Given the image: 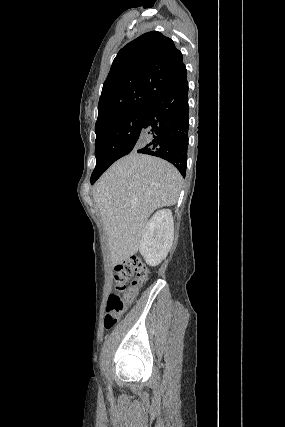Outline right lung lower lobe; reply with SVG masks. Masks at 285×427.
Returning a JSON list of instances; mask_svg holds the SVG:
<instances>
[{
    "instance_id": "1",
    "label": "right lung lower lobe",
    "mask_w": 285,
    "mask_h": 427,
    "mask_svg": "<svg viewBox=\"0 0 285 427\" xmlns=\"http://www.w3.org/2000/svg\"><path fill=\"white\" fill-rule=\"evenodd\" d=\"M189 129L188 82L163 94L146 106L140 143L135 149L172 163L186 174ZM91 177L93 184L102 174Z\"/></svg>"
}]
</instances>
